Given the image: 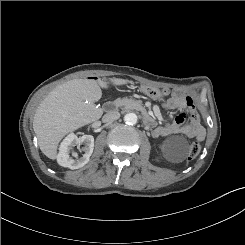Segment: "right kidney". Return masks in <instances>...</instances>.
I'll return each instance as SVG.
<instances>
[{
	"label": "right kidney",
	"mask_w": 245,
	"mask_h": 245,
	"mask_svg": "<svg viewBox=\"0 0 245 245\" xmlns=\"http://www.w3.org/2000/svg\"><path fill=\"white\" fill-rule=\"evenodd\" d=\"M84 144V154L79 158L77 153L73 151L75 146ZM94 149V138L92 135H83L77 137L75 134H69L60 145V152L57 156L59 165L70 169H78L88 163ZM72 152V156L70 153ZM75 158V159H74Z\"/></svg>",
	"instance_id": "ca27d5eb"
}]
</instances>
